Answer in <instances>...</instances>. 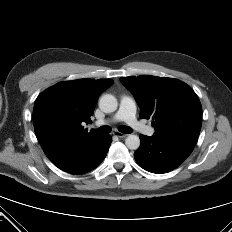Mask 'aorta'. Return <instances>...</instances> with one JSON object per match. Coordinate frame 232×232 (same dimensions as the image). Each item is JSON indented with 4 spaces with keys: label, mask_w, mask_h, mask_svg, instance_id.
<instances>
[{
    "label": "aorta",
    "mask_w": 232,
    "mask_h": 232,
    "mask_svg": "<svg viewBox=\"0 0 232 232\" xmlns=\"http://www.w3.org/2000/svg\"><path fill=\"white\" fill-rule=\"evenodd\" d=\"M118 107L117 99L111 94H104L99 100V108L105 113H112ZM125 144L130 150H136L140 146V139L137 135H129Z\"/></svg>",
    "instance_id": "aorta-1"
}]
</instances>
